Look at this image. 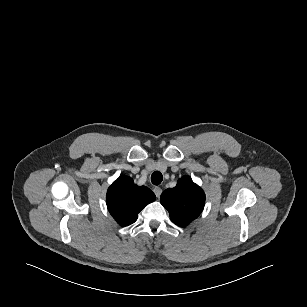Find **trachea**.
Instances as JSON below:
<instances>
[{
	"label": "trachea",
	"instance_id": "trachea-1",
	"mask_svg": "<svg viewBox=\"0 0 307 307\" xmlns=\"http://www.w3.org/2000/svg\"><path fill=\"white\" fill-rule=\"evenodd\" d=\"M163 180V175L161 172L159 171H155L152 175H151V182L154 185H159Z\"/></svg>",
	"mask_w": 307,
	"mask_h": 307
}]
</instances>
